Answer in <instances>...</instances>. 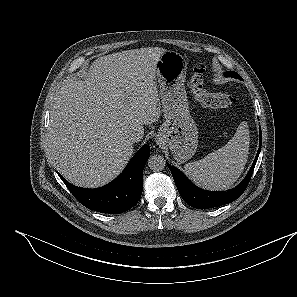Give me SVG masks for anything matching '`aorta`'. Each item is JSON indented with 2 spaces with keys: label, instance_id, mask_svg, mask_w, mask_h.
<instances>
[{
  "label": "aorta",
  "instance_id": "aorta-1",
  "mask_svg": "<svg viewBox=\"0 0 297 297\" xmlns=\"http://www.w3.org/2000/svg\"><path fill=\"white\" fill-rule=\"evenodd\" d=\"M148 166L152 171H162L166 166V161L160 155H153L148 159Z\"/></svg>",
  "mask_w": 297,
  "mask_h": 297
}]
</instances>
